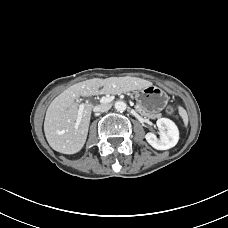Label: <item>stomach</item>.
Segmentation results:
<instances>
[{"label": "stomach", "mask_w": 228, "mask_h": 228, "mask_svg": "<svg viewBox=\"0 0 228 228\" xmlns=\"http://www.w3.org/2000/svg\"><path fill=\"white\" fill-rule=\"evenodd\" d=\"M137 108L142 113H156L165 108L167 94L157 86H146L135 93Z\"/></svg>", "instance_id": "stomach-1"}]
</instances>
